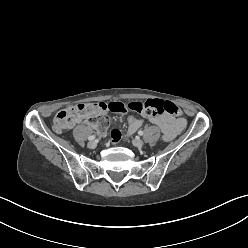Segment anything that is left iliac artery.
Wrapping results in <instances>:
<instances>
[{
  "instance_id": "obj_1",
  "label": "left iliac artery",
  "mask_w": 248,
  "mask_h": 248,
  "mask_svg": "<svg viewBox=\"0 0 248 248\" xmlns=\"http://www.w3.org/2000/svg\"><path fill=\"white\" fill-rule=\"evenodd\" d=\"M138 134H139V135H143V131L140 130V131L138 132Z\"/></svg>"
}]
</instances>
